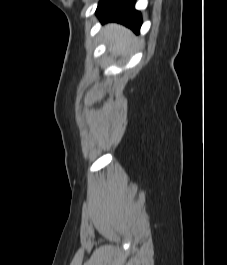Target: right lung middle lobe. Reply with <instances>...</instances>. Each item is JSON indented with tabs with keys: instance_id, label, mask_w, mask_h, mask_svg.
<instances>
[{
	"instance_id": "1",
	"label": "right lung middle lobe",
	"mask_w": 227,
	"mask_h": 265,
	"mask_svg": "<svg viewBox=\"0 0 227 265\" xmlns=\"http://www.w3.org/2000/svg\"><path fill=\"white\" fill-rule=\"evenodd\" d=\"M108 0H101L99 2V5H98V8H97V11L107 2Z\"/></svg>"
}]
</instances>
